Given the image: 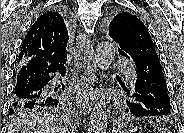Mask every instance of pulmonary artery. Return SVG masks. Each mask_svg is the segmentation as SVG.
<instances>
[{
    "label": "pulmonary artery",
    "mask_w": 184,
    "mask_h": 133,
    "mask_svg": "<svg viewBox=\"0 0 184 133\" xmlns=\"http://www.w3.org/2000/svg\"><path fill=\"white\" fill-rule=\"evenodd\" d=\"M114 69H124L127 70V78L133 83L135 80V72L132 70V64L123 58H118L114 60L113 66Z\"/></svg>",
    "instance_id": "1"
}]
</instances>
